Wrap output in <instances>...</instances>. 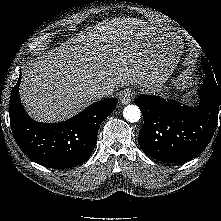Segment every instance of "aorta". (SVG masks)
Wrapping results in <instances>:
<instances>
[{
  "instance_id": "762f6f07",
  "label": "aorta",
  "mask_w": 221,
  "mask_h": 221,
  "mask_svg": "<svg viewBox=\"0 0 221 221\" xmlns=\"http://www.w3.org/2000/svg\"><path fill=\"white\" fill-rule=\"evenodd\" d=\"M123 116L128 122L135 123L139 121L141 117V111L136 105H128L123 110Z\"/></svg>"
}]
</instances>
